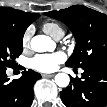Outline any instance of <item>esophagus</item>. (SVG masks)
I'll return each mask as SVG.
<instances>
[{
	"instance_id": "34e87169",
	"label": "esophagus",
	"mask_w": 107,
	"mask_h": 107,
	"mask_svg": "<svg viewBox=\"0 0 107 107\" xmlns=\"http://www.w3.org/2000/svg\"><path fill=\"white\" fill-rule=\"evenodd\" d=\"M42 77L43 78H51V77H54V74H43Z\"/></svg>"
}]
</instances>
